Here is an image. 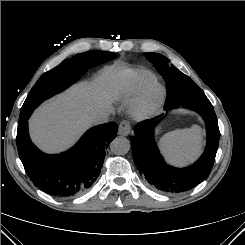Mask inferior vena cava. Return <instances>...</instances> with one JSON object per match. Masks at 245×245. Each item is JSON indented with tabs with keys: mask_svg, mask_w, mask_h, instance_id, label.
Returning a JSON list of instances; mask_svg holds the SVG:
<instances>
[{
	"mask_svg": "<svg viewBox=\"0 0 245 245\" xmlns=\"http://www.w3.org/2000/svg\"><path fill=\"white\" fill-rule=\"evenodd\" d=\"M109 120L107 113H101L94 118L95 123H106Z\"/></svg>",
	"mask_w": 245,
	"mask_h": 245,
	"instance_id": "1",
	"label": "inferior vena cava"
}]
</instances>
